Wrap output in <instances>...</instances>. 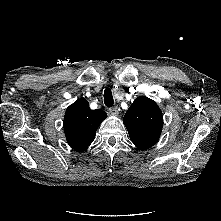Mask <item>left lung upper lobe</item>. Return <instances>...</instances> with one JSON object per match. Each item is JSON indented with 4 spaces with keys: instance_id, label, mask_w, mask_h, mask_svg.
Masks as SVG:
<instances>
[{
    "instance_id": "left-lung-upper-lobe-1",
    "label": "left lung upper lobe",
    "mask_w": 221,
    "mask_h": 221,
    "mask_svg": "<svg viewBox=\"0 0 221 221\" xmlns=\"http://www.w3.org/2000/svg\"><path fill=\"white\" fill-rule=\"evenodd\" d=\"M123 123L135 146L140 150H146L159 140L163 127V115L153 100L140 96L127 110Z\"/></svg>"
}]
</instances>
